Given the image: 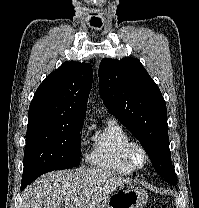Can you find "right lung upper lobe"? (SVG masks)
I'll return each instance as SVG.
<instances>
[{"mask_svg":"<svg viewBox=\"0 0 199 208\" xmlns=\"http://www.w3.org/2000/svg\"><path fill=\"white\" fill-rule=\"evenodd\" d=\"M93 81L89 64L67 62L40 84L29 107V119L83 122Z\"/></svg>","mask_w":199,"mask_h":208,"instance_id":"1","label":"right lung upper lobe"}]
</instances>
